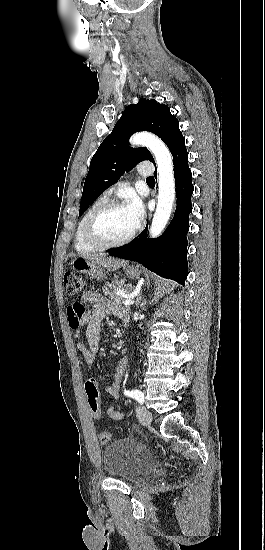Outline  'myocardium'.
Here are the masks:
<instances>
[{"label":"myocardium","instance_id":"f54148a6","mask_svg":"<svg viewBox=\"0 0 265 550\" xmlns=\"http://www.w3.org/2000/svg\"><path fill=\"white\" fill-rule=\"evenodd\" d=\"M125 207V205L122 202L110 200L105 202L104 204L97 207L86 219L84 224V237L85 239L93 246L99 248V249H109V248H115L123 246L127 243H129L137 234L138 227H136L130 234H128L126 237L116 240V241H107L104 238H102L97 230H96V224L98 220L105 215L106 213Z\"/></svg>","mask_w":265,"mask_h":550}]
</instances>
